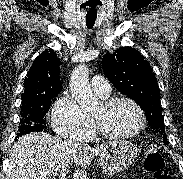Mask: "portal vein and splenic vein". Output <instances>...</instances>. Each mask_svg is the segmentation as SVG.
Returning a JSON list of instances; mask_svg holds the SVG:
<instances>
[{
  "instance_id": "1",
  "label": "portal vein and splenic vein",
  "mask_w": 183,
  "mask_h": 179,
  "mask_svg": "<svg viewBox=\"0 0 183 179\" xmlns=\"http://www.w3.org/2000/svg\"><path fill=\"white\" fill-rule=\"evenodd\" d=\"M60 175L64 178L66 176V171L65 170H62Z\"/></svg>"
}]
</instances>
